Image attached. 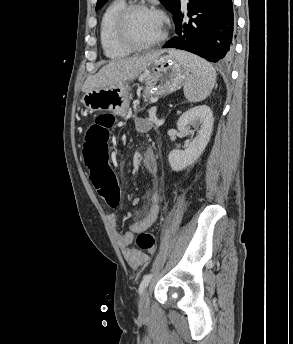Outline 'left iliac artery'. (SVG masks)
<instances>
[{"label": "left iliac artery", "mask_w": 293, "mask_h": 344, "mask_svg": "<svg viewBox=\"0 0 293 344\" xmlns=\"http://www.w3.org/2000/svg\"><path fill=\"white\" fill-rule=\"evenodd\" d=\"M152 278V274H146L144 275L141 283H140V286H139V294H142L143 291L145 290V288L148 286L150 280Z\"/></svg>", "instance_id": "1"}]
</instances>
